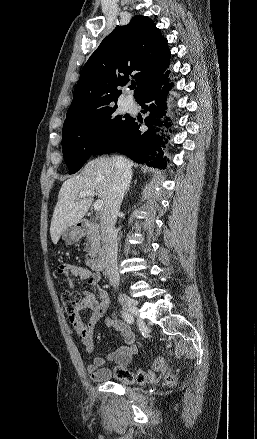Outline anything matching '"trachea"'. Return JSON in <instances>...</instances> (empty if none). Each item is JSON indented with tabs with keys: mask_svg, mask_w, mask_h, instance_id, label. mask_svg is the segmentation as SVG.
Masks as SVG:
<instances>
[{
	"mask_svg": "<svg viewBox=\"0 0 257 439\" xmlns=\"http://www.w3.org/2000/svg\"><path fill=\"white\" fill-rule=\"evenodd\" d=\"M135 88H136V83L133 82V83L131 84V86H130V89H135Z\"/></svg>",
	"mask_w": 257,
	"mask_h": 439,
	"instance_id": "1",
	"label": "trachea"
}]
</instances>
